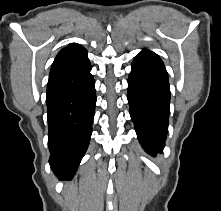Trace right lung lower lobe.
I'll list each match as a JSON object with an SVG mask.
<instances>
[{
  "mask_svg": "<svg viewBox=\"0 0 221 211\" xmlns=\"http://www.w3.org/2000/svg\"><path fill=\"white\" fill-rule=\"evenodd\" d=\"M90 63L76 71L49 78L46 92L49 163L61 176L72 178L92 133L96 105Z\"/></svg>",
  "mask_w": 221,
  "mask_h": 211,
  "instance_id": "obj_1",
  "label": "right lung lower lobe"
}]
</instances>
